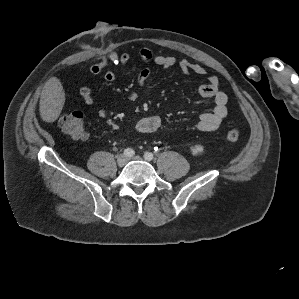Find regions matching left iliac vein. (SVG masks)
<instances>
[{
  "mask_svg": "<svg viewBox=\"0 0 299 299\" xmlns=\"http://www.w3.org/2000/svg\"><path fill=\"white\" fill-rule=\"evenodd\" d=\"M129 160H141V157L135 156V157L129 158Z\"/></svg>",
  "mask_w": 299,
  "mask_h": 299,
  "instance_id": "1",
  "label": "left iliac vein"
}]
</instances>
